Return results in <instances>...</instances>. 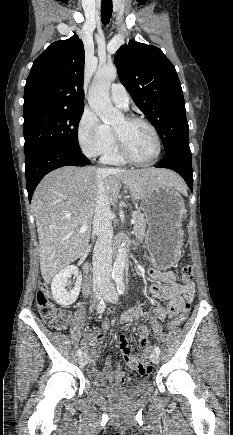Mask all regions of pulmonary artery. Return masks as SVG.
Wrapping results in <instances>:
<instances>
[{
  "label": "pulmonary artery",
  "mask_w": 233,
  "mask_h": 435,
  "mask_svg": "<svg viewBox=\"0 0 233 435\" xmlns=\"http://www.w3.org/2000/svg\"><path fill=\"white\" fill-rule=\"evenodd\" d=\"M111 100L120 108L127 109L129 105V95L123 85L115 83L110 89Z\"/></svg>",
  "instance_id": "1"
}]
</instances>
